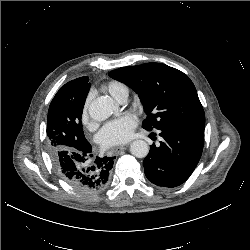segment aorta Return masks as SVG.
Masks as SVG:
<instances>
[{"mask_svg": "<svg viewBox=\"0 0 250 250\" xmlns=\"http://www.w3.org/2000/svg\"><path fill=\"white\" fill-rule=\"evenodd\" d=\"M116 109L112 99L99 97L91 103L88 112L92 120L101 122L108 119ZM130 152L137 158H144L149 153V146L144 140H135L130 145Z\"/></svg>", "mask_w": 250, "mask_h": 250, "instance_id": "762f6f07", "label": "aorta"}]
</instances>
